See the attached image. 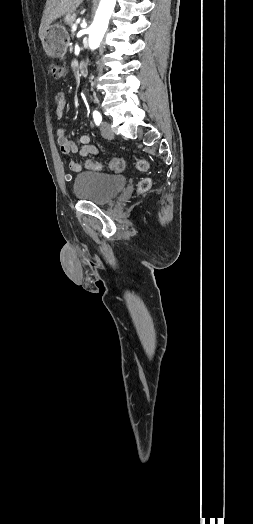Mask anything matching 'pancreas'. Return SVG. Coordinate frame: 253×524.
I'll return each instance as SVG.
<instances>
[{
  "instance_id": "1",
  "label": "pancreas",
  "mask_w": 253,
  "mask_h": 524,
  "mask_svg": "<svg viewBox=\"0 0 253 524\" xmlns=\"http://www.w3.org/2000/svg\"><path fill=\"white\" fill-rule=\"evenodd\" d=\"M76 19V14L75 13H68L65 18H64V22L66 24H68L69 26H72L74 21Z\"/></svg>"
}]
</instances>
